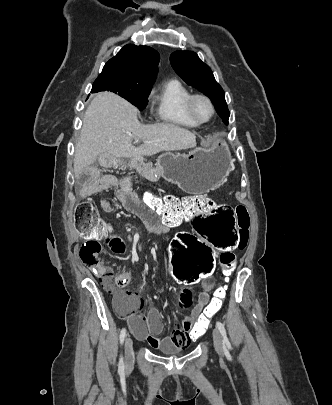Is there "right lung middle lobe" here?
Segmentation results:
<instances>
[{
	"label": "right lung middle lobe",
	"instance_id": "right-lung-middle-lobe-1",
	"mask_svg": "<svg viewBox=\"0 0 332 405\" xmlns=\"http://www.w3.org/2000/svg\"><path fill=\"white\" fill-rule=\"evenodd\" d=\"M153 82L137 81L114 73L100 74L92 86L91 92L111 91L143 110L148 101Z\"/></svg>",
	"mask_w": 332,
	"mask_h": 405
}]
</instances>
